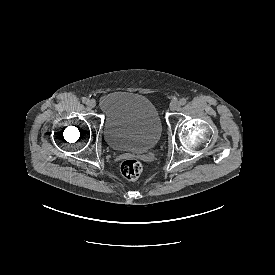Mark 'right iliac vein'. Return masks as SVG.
<instances>
[{
	"instance_id": "1",
	"label": "right iliac vein",
	"mask_w": 275,
	"mask_h": 275,
	"mask_svg": "<svg viewBox=\"0 0 275 275\" xmlns=\"http://www.w3.org/2000/svg\"><path fill=\"white\" fill-rule=\"evenodd\" d=\"M88 106L89 108H94L96 106V101L94 99L89 100Z\"/></svg>"
}]
</instances>
